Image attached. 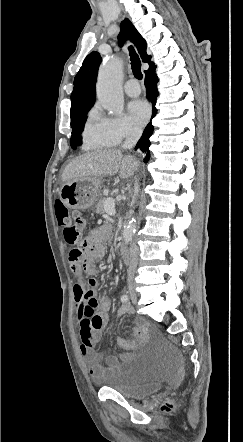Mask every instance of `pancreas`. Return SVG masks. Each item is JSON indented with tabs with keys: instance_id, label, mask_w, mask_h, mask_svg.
I'll use <instances>...</instances> for the list:
<instances>
[{
	"instance_id": "1",
	"label": "pancreas",
	"mask_w": 243,
	"mask_h": 442,
	"mask_svg": "<svg viewBox=\"0 0 243 442\" xmlns=\"http://www.w3.org/2000/svg\"><path fill=\"white\" fill-rule=\"evenodd\" d=\"M111 200H114V199H112V198H102L101 200H99V202L96 205V212L104 214L105 213L104 203L106 201H111Z\"/></svg>"
}]
</instances>
